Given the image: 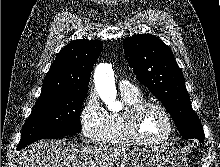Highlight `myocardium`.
<instances>
[{"label": "myocardium", "instance_id": "obj_1", "mask_svg": "<svg viewBox=\"0 0 220 167\" xmlns=\"http://www.w3.org/2000/svg\"><path fill=\"white\" fill-rule=\"evenodd\" d=\"M154 107L160 110L167 119L168 133L161 139L148 140L141 136L139 132V121L143 112L149 108ZM124 128L127 138L133 143L142 146H160L167 143L173 136L175 131V123L167 108L156 101H141L127 108L123 113Z\"/></svg>", "mask_w": 220, "mask_h": 167}]
</instances>
